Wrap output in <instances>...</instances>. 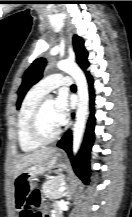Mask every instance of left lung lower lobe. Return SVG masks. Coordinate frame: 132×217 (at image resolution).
I'll use <instances>...</instances> for the list:
<instances>
[{
  "instance_id": "1",
  "label": "left lung lower lobe",
  "mask_w": 132,
  "mask_h": 217,
  "mask_svg": "<svg viewBox=\"0 0 132 217\" xmlns=\"http://www.w3.org/2000/svg\"><path fill=\"white\" fill-rule=\"evenodd\" d=\"M87 75V79L90 85V97H91V116L88 122V126H87V131H86V135H85V139H84V143L82 146V149L80 150L78 156L76 158H74L72 156V151H71V147H72V137H71V132H67L64 137L59 141V143L57 144L58 147L64 149L70 156L75 172L77 173V175L85 182L88 183V177H89V152L94 140V125H95V120H94V92H93V79L91 77V75L89 74V72H86Z\"/></svg>"
}]
</instances>
